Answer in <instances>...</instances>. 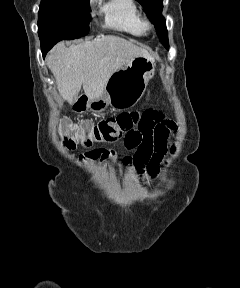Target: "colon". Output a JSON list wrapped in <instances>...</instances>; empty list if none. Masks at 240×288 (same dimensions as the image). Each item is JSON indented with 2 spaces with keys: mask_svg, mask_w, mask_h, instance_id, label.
I'll return each mask as SVG.
<instances>
[{
  "mask_svg": "<svg viewBox=\"0 0 240 288\" xmlns=\"http://www.w3.org/2000/svg\"><path fill=\"white\" fill-rule=\"evenodd\" d=\"M141 114L136 111L123 112L99 122L83 121L73 123L62 120L58 133L67 149H75L79 144L89 146L95 142H113L126 137L140 124Z\"/></svg>",
  "mask_w": 240,
  "mask_h": 288,
  "instance_id": "colon-1",
  "label": "colon"
}]
</instances>
